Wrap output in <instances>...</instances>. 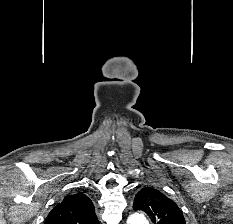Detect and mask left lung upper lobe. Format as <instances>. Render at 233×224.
<instances>
[{
	"label": "left lung upper lobe",
	"mask_w": 233,
	"mask_h": 224,
	"mask_svg": "<svg viewBox=\"0 0 233 224\" xmlns=\"http://www.w3.org/2000/svg\"><path fill=\"white\" fill-rule=\"evenodd\" d=\"M133 209L146 212L155 224H186L178 205L157 189H141L134 199Z\"/></svg>",
	"instance_id": "obj_1"
}]
</instances>
